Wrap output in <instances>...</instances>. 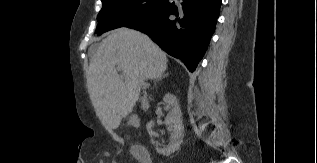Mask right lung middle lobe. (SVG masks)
<instances>
[{
    "instance_id": "1",
    "label": "right lung middle lobe",
    "mask_w": 317,
    "mask_h": 163,
    "mask_svg": "<svg viewBox=\"0 0 317 163\" xmlns=\"http://www.w3.org/2000/svg\"><path fill=\"white\" fill-rule=\"evenodd\" d=\"M96 33L123 27L159 8L166 0H101Z\"/></svg>"
}]
</instances>
